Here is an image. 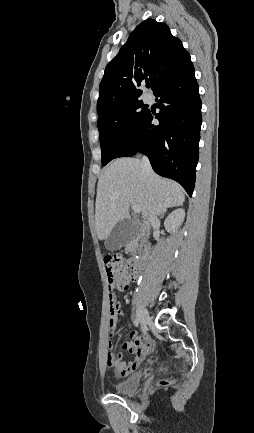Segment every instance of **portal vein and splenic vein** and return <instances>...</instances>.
<instances>
[{
  "label": "portal vein and splenic vein",
  "mask_w": 254,
  "mask_h": 433,
  "mask_svg": "<svg viewBox=\"0 0 254 433\" xmlns=\"http://www.w3.org/2000/svg\"><path fill=\"white\" fill-rule=\"evenodd\" d=\"M132 208H133L134 212H136V213H139L141 211L140 207L135 205V204L132 205Z\"/></svg>",
  "instance_id": "18ae733b"
}]
</instances>
